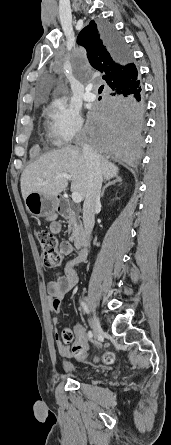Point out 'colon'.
Returning a JSON list of instances; mask_svg holds the SVG:
<instances>
[{
  "instance_id": "5ec220e1",
  "label": "colon",
  "mask_w": 171,
  "mask_h": 445,
  "mask_svg": "<svg viewBox=\"0 0 171 445\" xmlns=\"http://www.w3.org/2000/svg\"><path fill=\"white\" fill-rule=\"evenodd\" d=\"M37 239L42 249L44 266L47 268L60 267L62 255L58 250L57 238L50 232L38 231ZM61 337L65 343H71L73 340V334L69 329L63 330ZM72 352L76 358L82 359L85 356L86 349L81 344H74ZM102 360L106 364H111L115 361V355L111 352L105 353Z\"/></svg>"
}]
</instances>
